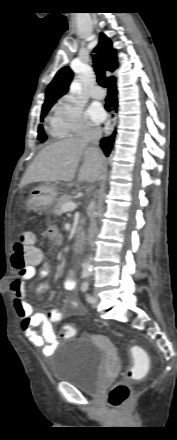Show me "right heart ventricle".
<instances>
[{
    "label": "right heart ventricle",
    "instance_id": "right-heart-ventricle-1",
    "mask_svg": "<svg viewBox=\"0 0 177 440\" xmlns=\"http://www.w3.org/2000/svg\"><path fill=\"white\" fill-rule=\"evenodd\" d=\"M50 133H51L52 135H54V136H58V137H59V134H58V132H57V130H56V128H55V126H54L52 120H51Z\"/></svg>",
    "mask_w": 177,
    "mask_h": 440
}]
</instances>
